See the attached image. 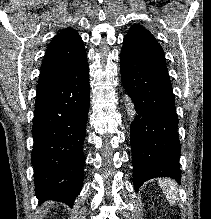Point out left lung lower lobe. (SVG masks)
I'll list each match as a JSON object with an SVG mask.
<instances>
[{
  "label": "left lung lower lobe",
  "instance_id": "left-lung-lower-lobe-1",
  "mask_svg": "<svg viewBox=\"0 0 211 219\" xmlns=\"http://www.w3.org/2000/svg\"><path fill=\"white\" fill-rule=\"evenodd\" d=\"M120 58L122 83L137 112L130 134L134 188L155 177L179 182L178 118L162 47L124 38Z\"/></svg>",
  "mask_w": 211,
  "mask_h": 219
}]
</instances>
